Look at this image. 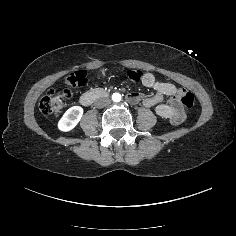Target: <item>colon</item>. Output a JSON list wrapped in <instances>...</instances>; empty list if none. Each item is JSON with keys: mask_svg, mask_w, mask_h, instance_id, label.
Segmentation results:
<instances>
[{"mask_svg": "<svg viewBox=\"0 0 236 236\" xmlns=\"http://www.w3.org/2000/svg\"><path fill=\"white\" fill-rule=\"evenodd\" d=\"M127 77L132 82H139L143 78V73L140 70H128ZM151 78V77H150ZM87 82V73L85 71H75L70 73L66 78L67 85L71 87H79ZM71 92L69 89L51 90L47 93L39 103L40 111L47 116H59L68 101L70 100ZM178 97L182 105L191 108L194 105L195 99L191 92L180 89Z\"/></svg>", "mask_w": 236, "mask_h": 236, "instance_id": "5ec220e1", "label": "colon"}]
</instances>
